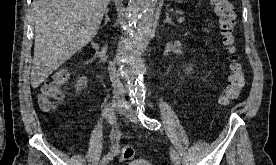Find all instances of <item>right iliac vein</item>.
<instances>
[{
	"label": "right iliac vein",
	"mask_w": 276,
	"mask_h": 165,
	"mask_svg": "<svg viewBox=\"0 0 276 165\" xmlns=\"http://www.w3.org/2000/svg\"><path fill=\"white\" fill-rule=\"evenodd\" d=\"M120 107L121 103L119 101H113L110 110L114 114V110H118ZM101 165H107V162L101 163Z\"/></svg>",
	"instance_id": "obj_1"
}]
</instances>
